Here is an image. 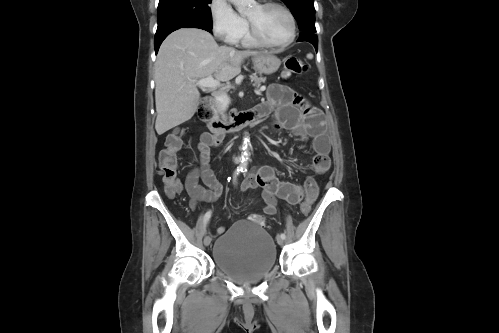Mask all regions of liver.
Wrapping results in <instances>:
<instances>
[{
	"label": "liver",
	"mask_w": 499,
	"mask_h": 333,
	"mask_svg": "<svg viewBox=\"0 0 499 333\" xmlns=\"http://www.w3.org/2000/svg\"><path fill=\"white\" fill-rule=\"evenodd\" d=\"M258 51H238L219 46L207 31L182 28L162 43L155 63V102L158 135L190 120L198 109L200 94L193 81L214 76L229 81L241 72V63Z\"/></svg>",
	"instance_id": "liver-1"
}]
</instances>
